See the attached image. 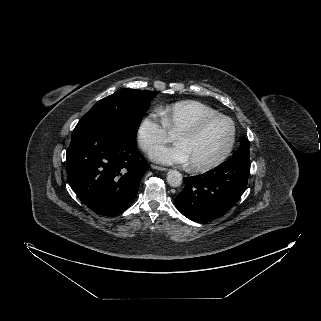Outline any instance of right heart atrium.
I'll use <instances>...</instances> for the list:
<instances>
[{
  "instance_id": "d8ad5b80",
  "label": "right heart atrium",
  "mask_w": 321,
  "mask_h": 321,
  "mask_svg": "<svg viewBox=\"0 0 321 321\" xmlns=\"http://www.w3.org/2000/svg\"><path fill=\"white\" fill-rule=\"evenodd\" d=\"M137 139L144 151L165 143L168 140V130L162 117L157 113L145 116L139 124Z\"/></svg>"
}]
</instances>
